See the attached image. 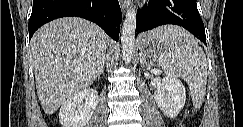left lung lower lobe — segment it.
<instances>
[{
  "instance_id": "left-lung-lower-lobe-1",
  "label": "left lung lower lobe",
  "mask_w": 243,
  "mask_h": 127,
  "mask_svg": "<svg viewBox=\"0 0 243 127\" xmlns=\"http://www.w3.org/2000/svg\"><path fill=\"white\" fill-rule=\"evenodd\" d=\"M165 24L179 25L207 45L196 0H152L137 12L135 35Z\"/></svg>"
}]
</instances>
